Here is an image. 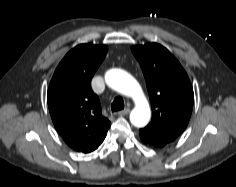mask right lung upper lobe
Here are the masks:
<instances>
[{
    "label": "right lung upper lobe",
    "instance_id": "1",
    "mask_svg": "<svg viewBox=\"0 0 236 187\" xmlns=\"http://www.w3.org/2000/svg\"><path fill=\"white\" fill-rule=\"evenodd\" d=\"M105 45L80 44L62 59L51 79L47 102L54 126L78 152L94 151L111 125L102 116L91 79L105 58Z\"/></svg>",
    "mask_w": 236,
    "mask_h": 187
}]
</instances>
